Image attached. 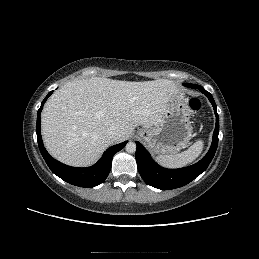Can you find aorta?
Returning <instances> with one entry per match:
<instances>
[{
  "label": "aorta",
  "instance_id": "obj_1",
  "mask_svg": "<svg viewBox=\"0 0 259 259\" xmlns=\"http://www.w3.org/2000/svg\"><path fill=\"white\" fill-rule=\"evenodd\" d=\"M125 149L128 153H135L136 144L134 142H128L125 146Z\"/></svg>",
  "mask_w": 259,
  "mask_h": 259
}]
</instances>
